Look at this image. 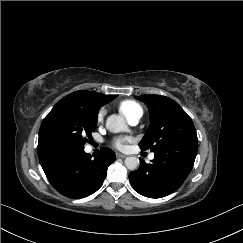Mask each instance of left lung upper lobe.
Listing matches in <instances>:
<instances>
[{"mask_svg": "<svg viewBox=\"0 0 243 243\" xmlns=\"http://www.w3.org/2000/svg\"><path fill=\"white\" fill-rule=\"evenodd\" d=\"M136 98L148 106L150 114V126L139 143L142 150L154 152L180 140L197 139L191 118L177 102L160 95Z\"/></svg>", "mask_w": 243, "mask_h": 243, "instance_id": "1", "label": "left lung upper lobe"}]
</instances>
